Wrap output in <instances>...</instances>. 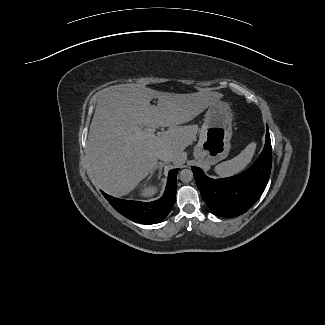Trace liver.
<instances>
[{"label": "liver", "instance_id": "1", "mask_svg": "<svg viewBox=\"0 0 325 325\" xmlns=\"http://www.w3.org/2000/svg\"><path fill=\"white\" fill-rule=\"evenodd\" d=\"M223 94L201 91L175 94L140 84H119L99 92L87 139L89 172L106 193L123 196L134 190L158 164V153H173V163L186 159L197 125H184L215 104ZM158 99L157 106L151 105ZM168 127L152 139L135 137L140 127Z\"/></svg>", "mask_w": 325, "mask_h": 325}]
</instances>
